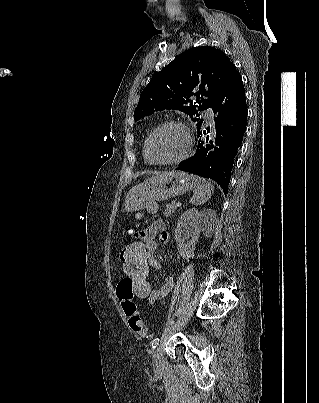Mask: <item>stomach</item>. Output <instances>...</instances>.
Segmentation results:
<instances>
[{"mask_svg":"<svg viewBox=\"0 0 319 403\" xmlns=\"http://www.w3.org/2000/svg\"><path fill=\"white\" fill-rule=\"evenodd\" d=\"M195 186L191 175L185 172H164L134 186L125 199V210L139 211L154 201H165L183 195Z\"/></svg>","mask_w":319,"mask_h":403,"instance_id":"stomach-1","label":"stomach"}]
</instances>
